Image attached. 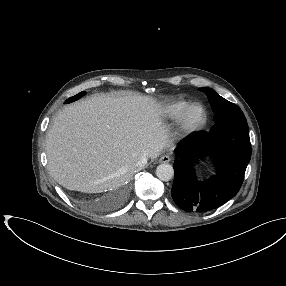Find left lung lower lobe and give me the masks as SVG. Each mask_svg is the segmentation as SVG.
Segmentation results:
<instances>
[{"instance_id":"0a47b994","label":"left lung lower lobe","mask_w":286,"mask_h":286,"mask_svg":"<svg viewBox=\"0 0 286 286\" xmlns=\"http://www.w3.org/2000/svg\"><path fill=\"white\" fill-rule=\"evenodd\" d=\"M174 183L171 195L185 211L207 212L218 208L239 191L251 158L247 121L215 123L209 132H196L175 149ZM209 154L217 175L198 182L194 159Z\"/></svg>"}]
</instances>
